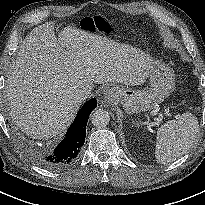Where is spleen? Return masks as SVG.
Listing matches in <instances>:
<instances>
[{
    "label": "spleen",
    "instance_id": "1",
    "mask_svg": "<svg viewBox=\"0 0 205 205\" xmlns=\"http://www.w3.org/2000/svg\"><path fill=\"white\" fill-rule=\"evenodd\" d=\"M198 132V119L190 112L163 124L157 131L156 161L167 164L181 157L193 145Z\"/></svg>",
    "mask_w": 205,
    "mask_h": 205
}]
</instances>
